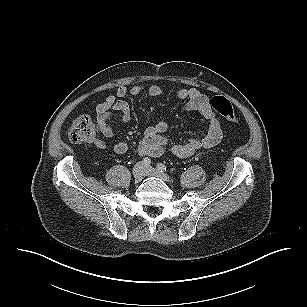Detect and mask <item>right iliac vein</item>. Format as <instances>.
Returning a JSON list of instances; mask_svg holds the SVG:
<instances>
[{
	"mask_svg": "<svg viewBox=\"0 0 307 307\" xmlns=\"http://www.w3.org/2000/svg\"><path fill=\"white\" fill-rule=\"evenodd\" d=\"M133 176L135 181L140 182L145 176V166L142 162H138L133 168Z\"/></svg>",
	"mask_w": 307,
	"mask_h": 307,
	"instance_id": "63e3f726",
	"label": "right iliac vein"
}]
</instances>
